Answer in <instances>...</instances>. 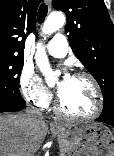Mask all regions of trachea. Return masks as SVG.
Here are the masks:
<instances>
[{
  "label": "trachea",
  "instance_id": "obj_1",
  "mask_svg": "<svg viewBox=\"0 0 114 156\" xmlns=\"http://www.w3.org/2000/svg\"><path fill=\"white\" fill-rule=\"evenodd\" d=\"M48 13V7L45 4H41L37 13V20L39 23H42Z\"/></svg>",
  "mask_w": 114,
  "mask_h": 156
}]
</instances>
